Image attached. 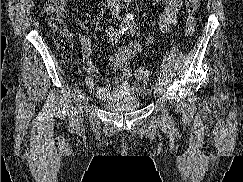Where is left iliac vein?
I'll use <instances>...</instances> for the list:
<instances>
[{
  "instance_id": "left-iliac-vein-1",
  "label": "left iliac vein",
  "mask_w": 243,
  "mask_h": 182,
  "mask_svg": "<svg viewBox=\"0 0 243 182\" xmlns=\"http://www.w3.org/2000/svg\"><path fill=\"white\" fill-rule=\"evenodd\" d=\"M154 92L158 95L161 94L162 92V88H161V85L159 84V82H156L155 85H154ZM169 120V115H168V112L167 110H163V122L164 123H167Z\"/></svg>"
}]
</instances>
